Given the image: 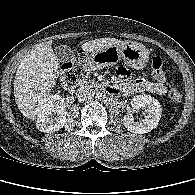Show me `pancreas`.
Listing matches in <instances>:
<instances>
[{"label":"pancreas","mask_w":195,"mask_h":195,"mask_svg":"<svg viewBox=\"0 0 195 195\" xmlns=\"http://www.w3.org/2000/svg\"><path fill=\"white\" fill-rule=\"evenodd\" d=\"M98 85V82L92 80V81H89V86L91 87H96Z\"/></svg>","instance_id":"obj_1"}]
</instances>
